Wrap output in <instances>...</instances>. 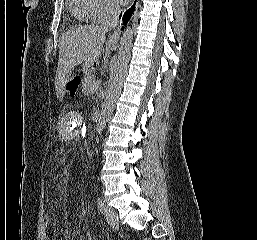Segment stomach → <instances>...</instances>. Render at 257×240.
Instances as JSON below:
<instances>
[{
	"label": "stomach",
	"instance_id": "1",
	"mask_svg": "<svg viewBox=\"0 0 257 240\" xmlns=\"http://www.w3.org/2000/svg\"><path fill=\"white\" fill-rule=\"evenodd\" d=\"M84 71H85V72H91V71H90V66L85 65V66H84Z\"/></svg>",
	"mask_w": 257,
	"mask_h": 240
}]
</instances>
